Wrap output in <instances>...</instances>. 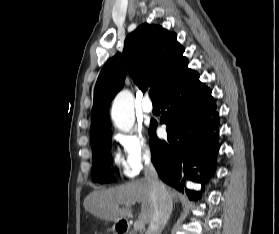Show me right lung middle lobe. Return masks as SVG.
<instances>
[{"instance_id": "1", "label": "right lung middle lobe", "mask_w": 279, "mask_h": 234, "mask_svg": "<svg viewBox=\"0 0 279 234\" xmlns=\"http://www.w3.org/2000/svg\"><path fill=\"white\" fill-rule=\"evenodd\" d=\"M110 140L111 134L99 139L91 145L93 151L91 176L94 182L108 183L115 180L109 170Z\"/></svg>"}]
</instances>
